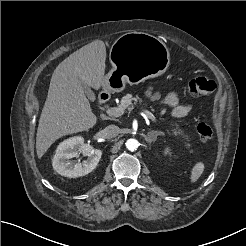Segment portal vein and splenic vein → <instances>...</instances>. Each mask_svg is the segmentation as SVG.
I'll return each instance as SVG.
<instances>
[{"mask_svg": "<svg viewBox=\"0 0 246 246\" xmlns=\"http://www.w3.org/2000/svg\"><path fill=\"white\" fill-rule=\"evenodd\" d=\"M106 113L111 117H119L123 115L124 111L120 107H111L108 108ZM146 114H143L145 118H149L152 121H156L155 116L151 112H145Z\"/></svg>", "mask_w": 246, "mask_h": 246, "instance_id": "1", "label": "portal vein and splenic vein"}]
</instances>
